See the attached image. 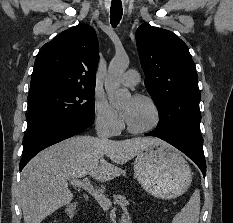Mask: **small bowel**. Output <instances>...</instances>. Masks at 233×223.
<instances>
[{"mask_svg":"<svg viewBox=\"0 0 233 223\" xmlns=\"http://www.w3.org/2000/svg\"><path fill=\"white\" fill-rule=\"evenodd\" d=\"M121 223H130V220L127 216H124L121 220Z\"/></svg>","mask_w":233,"mask_h":223,"instance_id":"small-bowel-1","label":"small bowel"}]
</instances>
